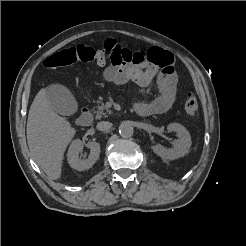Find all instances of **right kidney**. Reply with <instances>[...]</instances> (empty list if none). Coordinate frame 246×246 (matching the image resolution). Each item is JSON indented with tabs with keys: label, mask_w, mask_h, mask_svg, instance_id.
Masks as SVG:
<instances>
[{
	"label": "right kidney",
	"mask_w": 246,
	"mask_h": 246,
	"mask_svg": "<svg viewBox=\"0 0 246 246\" xmlns=\"http://www.w3.org/2000/svg\"><path fill=\"white\" fill-rule=\"evenodd\" d=\"M85 146L90 149V154L88 158L81 159L79 153L83 150L84 144L79 139H76L71 143L67 153V160L71 168L78 171L87 170L91 168L99 158L101 149L99 143L88 142Z\"/></svg>",
	"instance_id": "1"
}]
</instances>
